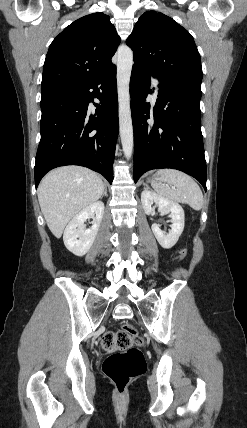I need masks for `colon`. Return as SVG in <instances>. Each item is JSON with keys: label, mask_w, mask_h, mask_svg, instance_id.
<instances>
[{"label": "colon", "mask_w": 247, "mask_h": 428, "mask_svg": "<svg viewBox=\"0 0 247 428\" xmlns=\"http://www.w3.org/2000/svg\"><path fill=\"white\" fill-rule=\"evenodd\" d=\"M186 255L187 250H181L180 260ZM142 344L143 340L132 324L123 325L117 332H106L101 339L103 349L117 350L105 359L103 372L119 393H123L129 383L145 370L144 356L138 348Z\"/></svg>", "instance_id": "1"}]
</instances>
